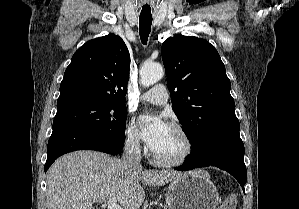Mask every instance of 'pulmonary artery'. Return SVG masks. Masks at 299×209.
Returning <instances> with one entry per match:
<instances>
[{"label":"pulmonary artery","instance_id":"1","mask_svg":"<svg viewBox=\"0 0 299 209\" xmlns=\"http://www.w3.org/2000/svg\"><path fill=\"white\" fill-rule=\"evenodd\" d=\"M140 100L156 105H163L168 101L169 93L167 88L158 84L140 95Z\"/></svg>","mask_w":299,"mask_h":209}]
</instances>
